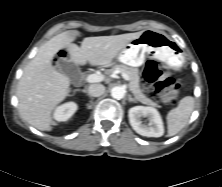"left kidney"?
<instances>
[{
	"label": "left kidney",
	"mask_w": 222,
	"mask_h": 187,
	"mask_svg": "<svg viewBox=\"0 0 222 187\" xmlns=\"http://www.w3.org/2000/svg\"><path fill=\"white\" fill-rule=\"evenodd\" d=\"M128 116L130 125L138 134L146 137H161L164 134L161 115L155 108L134 106L129 109ZM142 117L148 118L149 124L143 123Z\"/></svg>",
	"instance_id": "1"
}]
</instances>
